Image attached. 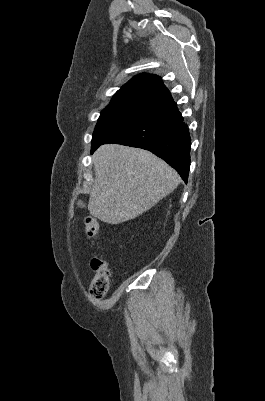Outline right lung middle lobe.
<instances>
[{"label": "right lung middle lobe", "mask_w": 265, "mask_h": 401, "mask_svg": "<svg viewBox=\"0 0 265 401\" xmlns=\"http://www.w3.org/2000/svg\"><path fill=\"white\" fill-rule=\"evenodd\" d=\"M163 108L150 103H127L107 106L102 110L92 137V147L99 145L115 133Z\"/></svg>", "instance_id": "dd1d6c3e"}]
</instances>
